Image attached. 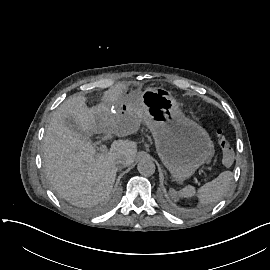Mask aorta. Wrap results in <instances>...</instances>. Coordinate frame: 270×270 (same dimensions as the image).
<instances>
[{
    "label": "aorta",
    "instance_id": "aorta-1",
    "mask_svg": "<svg viewBox=\"0 0 270 270\" xmlns=\"http://www.w3.org/2000/svg\"><path fill=\"white\" fill-rule=\"evenodd\" d=\"M137 169L141 175L151 176L155 172V164L149 158H142L137 165Z\"/></svg>",
    "mask_w": 270,
    "mask_h": 270
}]
</instances>
